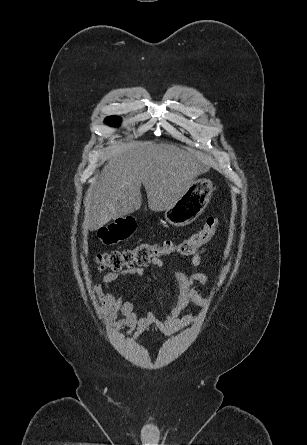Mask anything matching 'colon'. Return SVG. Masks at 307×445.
Listing matches in <instances>:
<instances>
[{
  "label": "colon",
  "mask_w": 307,
  "mask_h": 445,
  "mask_svg": "<svg viewBox=\"0 0 307 445\" xmlns=\"http://www.w3.org/2000/svg\"><path fill=\"white\" fill-rule=\"evenodd\" d=\"M220 220L216 216L206 219L204 226L180 241L163 240L159 243H140L133 248L112 250L99 253L96 257L98 268L120 271L146 266L160 256L180 254L193 255L206 244L217 232ZM137 224L132 217L120 218L98 232L100 241L105 245H114L129 239L136 231Z\"/></svg>",
  "instance_id": "5ec220e1"
}]
</instances>
